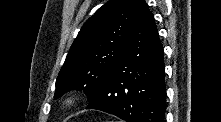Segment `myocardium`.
<instances>
[{"mask_svg": "<svg viewBox=\"0 0 221 122\" xmlns=\"http://www.w3.org/2000/svg\"><path fill=\"white\" fill-rule=\"evenodd\" d=\"M78 99L79 97L77 94L71 93L64 98L63 103L68 107H72L77 103Z\"/></svg>", "mask_w": 221, "mask_h": 122, "instance_id": "myocardium-1", "label": "myocardium"}]
</instances>
